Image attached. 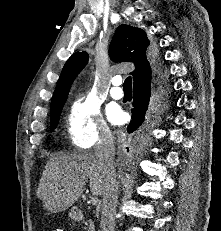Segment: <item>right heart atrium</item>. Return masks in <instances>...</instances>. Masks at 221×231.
Listing matches in <instances>:
<instances>
[{
    "mask_svg": "<svg viewBox=\"0 0 221 231\" xmlns=\"http://www.w3.org/2000/svg\"><path fill=\"white\" fill-rule=\"evenodd\" d=\"M67 132L70 141L82 149H89L112 138L98 105L88 96H80L73 101L67 120Z\"/></svg>",
    "mask_w": 221,
    "mask_h": 231,
    "instance_id": "d8ad5b80",
    "label": "right heart atrium"
}]
</instances>
